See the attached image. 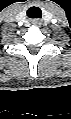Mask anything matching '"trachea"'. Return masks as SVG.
I'll return each mask as SVG.
<instances>
[{
	"label": "trachea",
	"mask_w": 71,
	"mask_h": 119,
	"mask_svg": "<svg viewBox=\"0 0 71 119\" xmlns=\"http://www.w3.org/2000/svg\"><path fill=\"white\" fill-rule=\"evenodd\" d=\"M27 15L29 18H40L41 10L38 7H31L28 9Z\"/></svg>",
	"instance_id": "3493384b"
}]
</instances>
